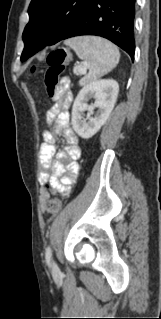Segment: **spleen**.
Here are the masks:
<instances>
[{"label": "spleen", "mask_w": 161, "mask_h": 319, "mask_svg": "<svg viewBox=\"0 0 161 319\" xmlns=\"http://www.w3.org/2000/svg\"><path fill=\"white\" fill-rule=\"evenodd\" d=\"M84 60L88 74L79 81L86 86L97 78L110 72L119 63L120 53L111 42L101 37L82 36L66 42Z\"/></svg>", "instance_id": "1"}]
</instances>
